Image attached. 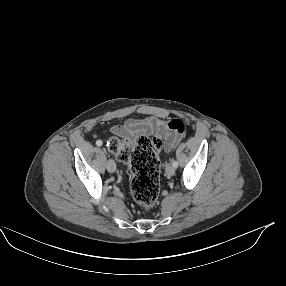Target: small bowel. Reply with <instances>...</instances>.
<instances>
[{"label":"small bowel","instance_id":"1","mask_svg":"<svg viewBox=\"0 0 286 286\" xmlns=\"http://www.w3.org/2000/svg\"><path fill=\"white\" fill-rule=\"evenodd\" d=\"M178 122L181 121L148 116L143 119L126 120L115 125L111 132L129 142L140 136H153L156 140L163 141L165 151L170 152L179 143L183 134Z\"/></svg>","mask_w":286,"mask_h":286}]
</instances>
